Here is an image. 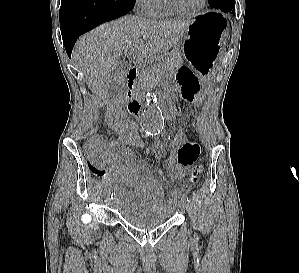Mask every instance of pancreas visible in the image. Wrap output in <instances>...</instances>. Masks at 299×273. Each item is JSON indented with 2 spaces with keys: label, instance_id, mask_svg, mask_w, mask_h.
Returning <instances> with one entry per match:
<instances>
[{
  "label": "pancreas",
  "instance_id": "pancreas-1",
  "mask_svg": "<svg viewBox=\"0 0 299 273\" xmlns=\"http://www.w3.org/2000/svg\"><path fill=\"white\" fill-rule=\"evenodd\" d=\"M182 64L180 50L169 53L158 66L149 65L144 67L143 76L146 81L156 82L161 78H167L172 75Z\"/></svg>",
  "mask_w": 299,
  "mask_h": 273
}]
</instances>
